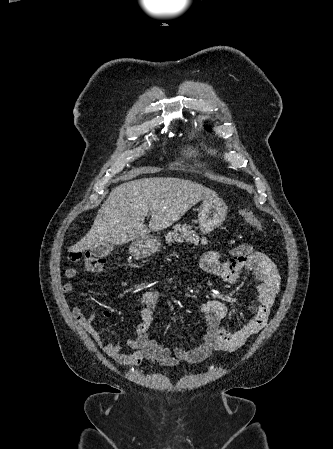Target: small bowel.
Wrapping results in <instances>:
<instances>
[{
    "mask_svg": "<svg viewBox=\"0 0 333 449\" xmlns=\"http://www.w3.org/2000/svg\"><path fill=\"white\" fill-rule=\"evenodd\" d=\"M231 254L232 257L229 260L222 261L219 253L207 252L201 257L200 266L205 272L220 276L229 286L237 284L243 271H250L256 282L257 305L238 329L230 330L222 325V319L227 312L226 305L220 300L203 302L199 309L205 315L207 326L200 344L194 348L170 349L150 338L149 329L161 297L158 291L148 290L142 294L139 302L141 322L133 337L129 338L125 345L113 342L103 343L94 327V316H84L79 306L72 308V315L102 351L120 366L135 367L143 362L175 366L180 362H200L215 350L236 351L251 336L266 326L271 308L280 290V276L274 263L250 245L241 244L235 247ZM76 274L77 270L74 267H68L65 270V275L69 279H73ZM73 292L74 287L71 283L63 285V295L72 296ZM104 315L109 316V313L105 311Z\"/></svg>",
    "mask_w": 333,
    "mask_h": 449,
    "instance_id": "1",
    "label": "small bowel"
}]
</instances>
